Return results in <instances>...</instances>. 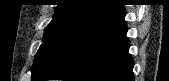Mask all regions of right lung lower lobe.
Here are the masks:
<instances>
[{
  "label": "right lung lower lobe",
  "instance_id": "1",
  "mask_svg": "<svg viewBox=\"0 0 169 81\" xmlns=\"http://www.w3.org/2000/svg\"><path fill=\"white\" fill-rule=\"evenodd\" d=\"M122 7L86 22L32 73V81H134Z\"/></svg>",
  "mask_w": 169,
  "mask_h": 81
}]
</instances>
